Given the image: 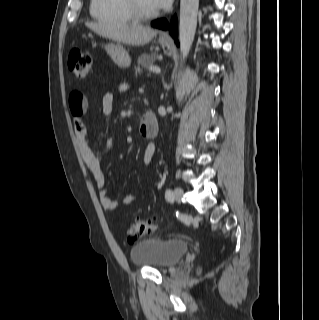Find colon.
I'll return each instance as SVG.
<instances>
[{
    "label": "colon",
    "mask_w": 319,
    "mask_h": 320,
    "mask_svg": "<svg viewBox=\"0 0 319 320\" xmlns=\"http://www.w3.org/2000/svg\"><path fill=\"white\" fill-rule=\"evenodd\" d=\"M92 57L89 53L80 49L71 50L68 58V66L71 73L77 78H85L91 69ZM158 229V218L153 216L147 220L135 219L126 229V237L129 241L151 235Z\"/></svg>",
    "instance_id": "1"
}]
</instances>
